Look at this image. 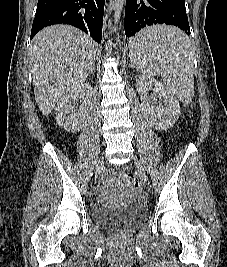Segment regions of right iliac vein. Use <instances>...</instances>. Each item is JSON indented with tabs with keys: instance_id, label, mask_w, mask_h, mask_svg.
Here are the masks:
<instances>
[{
	"instance_id": "right-iliac-vein-1",
	"label": "right iliac vein",
	"mask_w": 227,
	"mask_h": 267,
	"mask_svg": "<svg viewBox=\"0 0 227 267\" xmlns=\"http://www.w3.org/2000/svg\"><path fill=\"white\" fill-rule=\"evenodd\" d=\"M104 166V161H103V157L99 159L96 168H95V177H97V175L99 174V172L102 170Z\"/></svg>"
}]
</instances>
